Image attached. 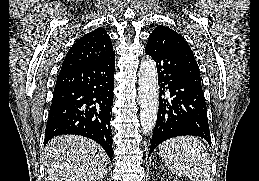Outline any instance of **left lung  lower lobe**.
<instances>
[{"label":"left lung lower lobe","mask_w":259,"mask_h":181,"mask_svg":"<svg viewBox=\"0 0 259 181\" xmlns=\"http://www.w3.org/2000/svg\"><path fill=\"white\" fill-rule=\"evenodd\" d=\"M145 52L156 62L160 79L159 109L149 155L163 141L176 136H200L211 144L203 90L181 73L176 43L147 44ZM165 90L171 99L162 98Z\"/></svg>","instance_id":"left-lung-lower-lobe-1"}]
</instances>
